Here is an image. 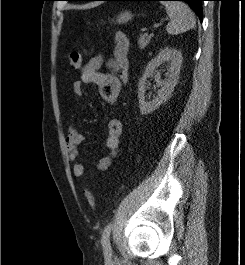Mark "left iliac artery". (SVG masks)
Wrapping results in <instances>:
<instances>
[{
  "label": "left iliac artery",
  "mask_w": 245,
  "mask_h": 265,
  "mask_svg": "<svg viewBox=\"0 0 245 265\" xmlns=\"http://www.w3.org/2000/svg\"><path fill=\"white\" fill-rule=\"evenodd\" d=\"M112 230V224L109 223L103 230L101 244L103 246L104 254L108 257L112 255V248L110 245V233Z\"/></svg>",
  "instance_id": "1"
}]
</instances>
